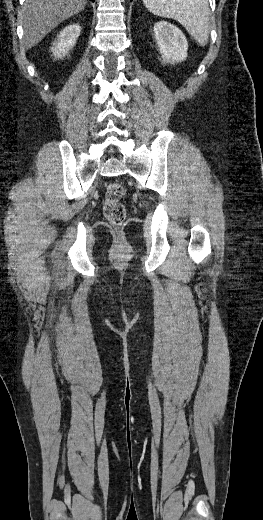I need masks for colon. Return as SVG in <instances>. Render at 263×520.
<instances>
[{"label":"colon","instance_id":"obj_1","mask_svg":"<svg viewBox=\"0 0 263 520\" xmlns=\"http://www.w3.org/2000/svg\"><path fill=\"white\" fill-rule=\"evenodd\" d=\"M125 187L118 182L108 185L103 203V213L114 226H121L126 220V208L123 204Z\"/></svg>","mask_w":263,"mask_h":520}]
</instances>
